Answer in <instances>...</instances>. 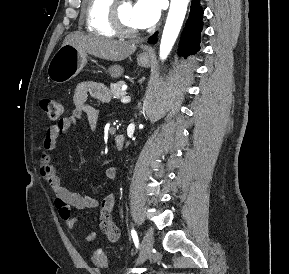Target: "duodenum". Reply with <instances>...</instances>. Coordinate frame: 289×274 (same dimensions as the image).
<instances>
[{
  "mask_svg": "<svg viewBox=\"0 0 289 274\" xmlns=\"http://www.w3.org/2000/svg\"><path fill=\"white\" fill-rule=\"evenodd\" d=\"M114 143H115V147L117 150H122L125 144L124 136L121 134L116 135L114 139Z\"/></svg>",
  "mask_w": 289,
  "mask_h": 274,
  "instance_id": "duodenum-1",
  "label": "duodenum"
}]
</instances>
